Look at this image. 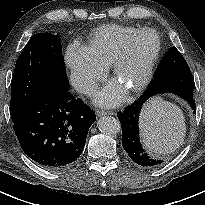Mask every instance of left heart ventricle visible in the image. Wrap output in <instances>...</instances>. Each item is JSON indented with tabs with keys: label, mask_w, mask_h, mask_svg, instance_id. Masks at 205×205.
I'll return each instance as SVG.
<instances>
[{
	"label": "left heart ventricle",
	"mask_w": 205,
	"mask_h": 205,
	"mask_svg": "<svg viewBox=\"0 0 205 205\" xmlns=\"http://www.w3.org/2000/svg\"><path fill=\"white\" fill-rule=\"evenodd\" d=\"M156 38L152 33L141 35L133 44L131 57L123 64L117 83L123 88L135 84L142 76L144 64L156 48Z\"/></svg>",
	"instance_id": "obj_1"
}]
</instances>
